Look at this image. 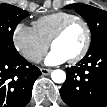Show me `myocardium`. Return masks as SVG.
<instances>
[{"instance_id": "1", "label": "myocardium", "mask_w": 107, "mask_h": 107, "mask_svg": "<svg viewBox=\"0 0 107 107\" xmlns=\"http://www.w3.org/2000/svg\"><path fill=\"white\" fill-rule=\"evenodd\" d=\"M75 23H80L85 28L86 40H85V44H84L83 48L81 49V51L74 57L68 59V62H70V63H77L80 60H82L90 49L91 42H92V32H91V28L86 20H84L83 18H80V17H74V18L66 21L57 29V31L54 33V35L52 36L50 43H49L51 48H53L54 43L57 40H59L65 34V32Z\"/></svg>"}]
</instances>
